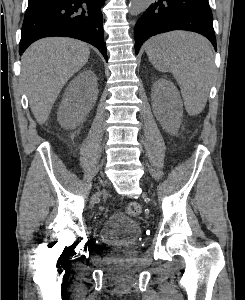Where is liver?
<instances>
[{"label": "liver", "instance_id": "1", "mask_svg": "<svg viewBox=\"0 0 245 300\" xmlns=\"http://www.w3.org/2000/svg\"><path fill=\"white\" fill-rule=\"evenodd\" d=\"M89 55L86 43L64 37L41 39L25 51L21 81L39 124L46 122L61 89L86 64Z\"/></svg>", "mask_w": 245, "mask_h": 300}]
</instances>
